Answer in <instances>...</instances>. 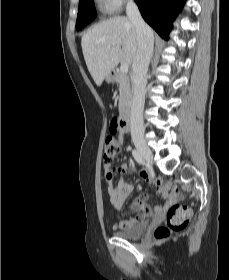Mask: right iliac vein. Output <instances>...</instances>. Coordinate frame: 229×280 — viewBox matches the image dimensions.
<instances>
[{
    "label": "right iliac vein",
    "mask_w": 229,
    "mask_h": 280,
    "mask_svg": "<svg viewBox=\"0 0 229 280\" xmlns=\"http://www.w3.org/2000/svg\"><path fill=\"white\" fill-rule=\"evenodd\" d=\"M134 144L141 156L148 162L152 163L153 154L147 144L141 139H134Z\"/></svg>",
    "instance_id": "right-iliac-vein-1"
}]
</instances>
